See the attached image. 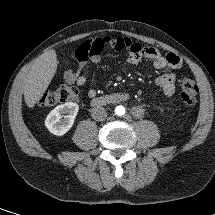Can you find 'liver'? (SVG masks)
I'll return each mask as SVG.
<instances>
[{
  "label": "liver",
  "instance_id": "obj_1",
  "mask_svg": "<svg viewBox=\"0 0 215 215\" xmlns=\"http://www.w3.org/2000/svg\"><path fill=\"white\" fill-rule=\"evenodd\" d=\"M57 55L55 50H47L40 55L22 84L24 100L29 108H33L47 90L57 70Z\"/></svg>",
  "mask_w": 215,
  "mask_h": 215
}]
</instances>
